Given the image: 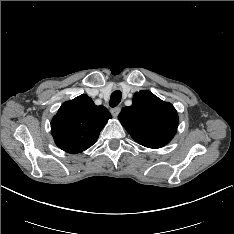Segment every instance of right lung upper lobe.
Masks as SVG:
<instances>
[{"instance_id": "1", "label": "right lung upper lobe", "mask_w": 234, "mask_h": 234, "mask_svg": "<svg viewBox=\"0 0 234 234\" xmlns=\"http://www.w3.org/2000/svg\"><path fill=\"white\" fill-rule=\"evenodd\" d=\"M104 106H96L85 94L61 105L51 121L56 145L68 153H80L91 147L111 118Z\"/></svg>"}]
</instances>
